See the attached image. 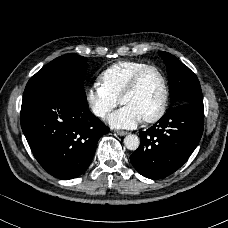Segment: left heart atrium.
Instances as JSON below:
<instances>
[{
    "label": "left heart atrium",
    "instance_id": "1",
    "mask_svg": "<svg viewBox=\"0 0 228 228\" xmlns=\"http://www.w3.org/2000/svg\"><path fill=\"white\" fill-rule=\"evenodd\" d=\"M142 120L140 114L130 106H124L108 117L109 124L114 128H135Z\"/></svg>",
    "mask_w": 228,
    "mask_h": 228
}]
</instances>
